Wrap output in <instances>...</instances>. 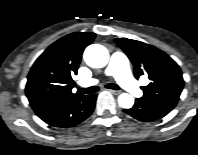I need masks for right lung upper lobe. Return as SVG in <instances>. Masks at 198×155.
Returning a JSON list of instances; mask_svg holds the SVG:
<instances>
[{
	"label": "right lung upper lobe",
	"mask_w": 198,
	"mask_h": 155,
	"mask_svg": "<svg viewBox=\"0 0 198 155\" xmlns=\"http://www.w3.org/2000/svg\"><path fill=\"white\" fill-rule=\"evenodd\" d=\"M96 34L71 33L49 46L33 64L26 84V95L34 111L72 99L73 75L77 74L82 53Z\"/></svg>",
	"instance_id": "right-lung-upper-lobe-1"
}]
</instances>
